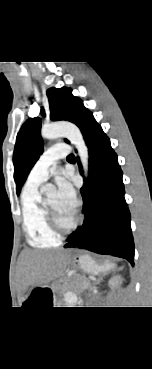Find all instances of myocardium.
Masks as SVG:
<instances>
[{"instance_id":"f54148a6","label":"myocardium","mask_w":152,"mask_h":369,"mask_svg":"<svg viewBox=\"0 0 152 369\" xmlns=\"http://www.w3.org/2000/svg\"><path fill=\"white\" fill-rule=\"evenodd\" d=\"M42 204H43V207H44V210H45V213H46V218H47L48 225H49L50 229L58 237H62L64 235H67V234L71 233L77 227L79 220L76 216H74V219H73L72 223L69 226L64 227L60 224V222L58 221V218L56 217L55 213L48 206L46 200H43Z\"/></svg>"}]
</instances>
